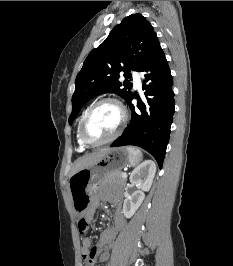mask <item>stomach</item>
Listing matches in <instances>:
<instances>
[{"instance_id":"1","label":"stomach","mask_w":233,"mask_h":266,"mask_svg":"<svg viewBox=\"0 0 233 266\" xmlns=\"http://www.w3.org/2000/svg\"><path fill=\"white\" fill-rule=\"evenodd\" d=\"M129 165H132V157L126 148H111L99 162L74 173L69 178V189L76 217L81 218L87 211L91 196L102 184L105 174L121 171Z\"/></svg>"}]
</instances>
